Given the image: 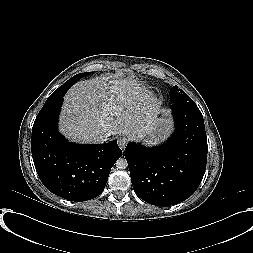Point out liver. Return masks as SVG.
I'll return each mask as SVG.
<instances>
[{"label":"liver","mask_w":253,"mask_h":253,"mask_svg":"<svg viewBox=\"0 0 253 253\" xmlns=\"http://www.w3.org/2000/svg\"><path fill=\"white\" fill-rule=\"evenodd\" d=\"M154 99L132 78L96 77L79 81L64 98L59 130L71 140L98 143L101 135L143 139L156 117Z\"/></svg>","instance_id":"1"}]
</instances>
